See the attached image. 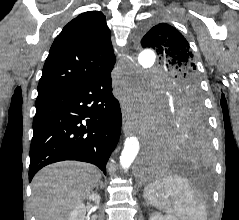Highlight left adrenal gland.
Instances as JSON below:
<instances>
[{
  "instance_id": "left-adrenal-gland-1",
  "label": "left adrenal gland",
  "mask_w": 239,
  "mask_h": 220,
  "mask_svg": "<svg viewBox=\"0 0 239 220\" xmlns=\"http://www.w3.org/2000/svg\"><path fill=\"white\" fill-rule=\"evenodd\" d=\"M143 197L145 198V195H143ZM145 205H149V201L147 199H146Z\"/></svg>"
}]
</instances>
